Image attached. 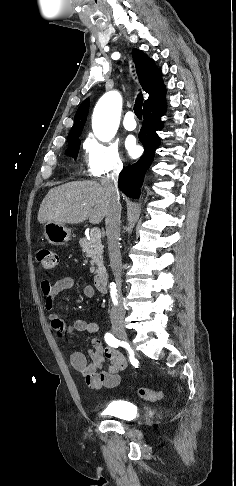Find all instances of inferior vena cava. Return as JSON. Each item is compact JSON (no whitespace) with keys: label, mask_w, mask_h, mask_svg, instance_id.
<instances>
[{"label":"inferior vena cava","mask_w":236,"mask_h":486,"mask_svg":"<svg viewBox=\"0 0 236 486\" xmlns=\"http://www.w3.org/2000/svg\"><path fill=\"white\" fill-rule=\"evenodd\" d=\"M123 169V164L120 162L116 164L110 174L101 179V185L105 188L108 194V210L105 218L108 253L110 259V266L117 284L119 305L112 308L111 314L116 315L123 312V305L121 303V272L122 262L119 248L120 237V218H121V204L120 195L117 187L118 175Z\"/></svg>","instance_id":"inferior-vena-cava-1"}]
</instances>
